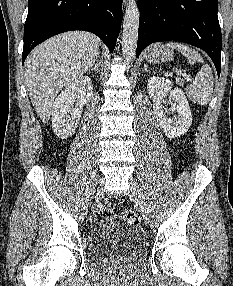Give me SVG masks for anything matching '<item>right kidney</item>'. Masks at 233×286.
I'll list each match as a JSON object with an SVG mask.
<instances>
[{
	"label": "right kidney",
	"mask_w": 233,
	"mask_h": 286,
	"mask_svg": "<svg viewBox=\"0 0 233 286\" xmlns=\"http://www.w3.org/2000/svg\"><path fill=\"white\" fill-rule=\"evenodd\" d=\"M92 93L91 78L81 76L56 98L52 107V128L58 137L64 139L72 135L79 124L83 106L89 102Z\"/></svg>",
	"instance_id": "1"
}]
</instances>
